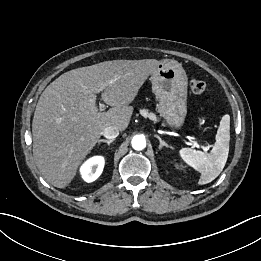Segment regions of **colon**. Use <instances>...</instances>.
<instances>
[{
    "label": "colon",
    "instance_id": "colon-1",
    "mask_svg": "<svg viewBox=\"0 0 261 261\" xmlns=\"http://www.w3.org/2000/svg\"><path fill=\"white\" fill-rule=\"evenodd\" d=\"M190 89L194 94L202 95L207 91V84L205 81L201 79L193 78L190 81Z\"/></svg>",
    "mask_w": 261,
    "mask_h": 261
}]
</instances>
